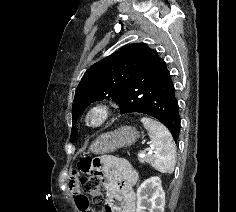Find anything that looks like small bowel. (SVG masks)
<instances>
[{"mask_svg": "<svg viewBox=\"0 0 236 212\" xmlns=\"http://www.w3.org/2000/svg\"><path fill=\"white\" fill-rule=\"evenodd\" d=\"M107 189L108 204L106 212H136V195L133 186L138 180V174L125 159L103 156L97 168ZM81 173H87L79 168L74 170L70 191L73 194L79 212H93L89 208L87 197L80 192L77 184Z\"/></svg>", "mask_w": 236, "mask_h": 212, "instance_id": "small-bowel-1", "label": "small bowel"}]
</instances>
